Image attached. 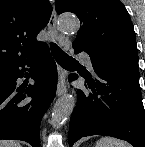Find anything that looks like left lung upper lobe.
<instances>
[{
    "label": "left lung upper lobe",
    "instance_id": "obj_1",
    "mask_svg": "<svg viewBox=\"0 0 145 147\" xmlns=\"http://www.w3.org/2000/svg\"><path fill=\"white\" fill-rule=\"evenodd\" d=\"M56 11L80 19L73 46L90 56L138 59L134 27L120 0H56Z\"/></svg>",
    "mask_w": 145,
    "mask_h": 147
}]
</instances>
